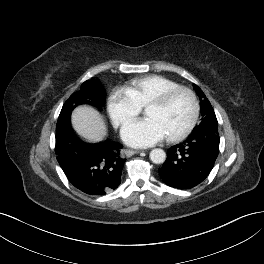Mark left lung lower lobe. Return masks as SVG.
Listing matches in <instances>:
<instances>
[{
    "mask_svg": "<svg viewBox=\"0 0 264 264\" xmlns=\"http://www.w3.org/2000/svg\"><path fill=\"white\" fill-rule=\"evenodd\" d=\"M216 126L194 129L182 143L171 147L159 174L165 184L178 189H191L206 179L219 153Z\"/></svg>",
    "mask_w": 264,
    "mask_h": 264,
    "instance_id": "left-lung-lower-lobe-1",
    "label": "left lung lower lobe"
}]
</instances>
